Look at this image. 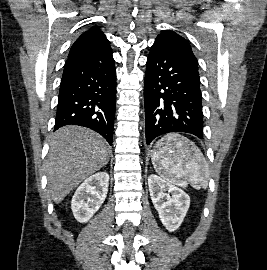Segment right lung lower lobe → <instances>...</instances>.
<instances>
[{"label":"right lung lower lobe","instance_id":"1","mask_svg":"<svg viewBox=\"0 0 267 270\" xmlns=\"http://www.w3.org/2000/svg\"><path fill=\"white\" fill-rule=\"evenodd\" d=\"M116 71L109 44L67 59L58 96L55 129L80 125L112 145Z\"/></svg>","mask_w":267,"mask_h":270}]
</instances>
